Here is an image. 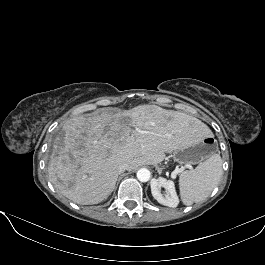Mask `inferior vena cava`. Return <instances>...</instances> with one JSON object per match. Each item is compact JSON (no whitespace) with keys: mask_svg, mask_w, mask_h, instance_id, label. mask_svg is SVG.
Instances as JSON below:
<instances>
[{"mask_svg":"<svg viewBox=\"0 0 265 265\" xmlns=\"http://www.w3.org/2000/svg\"><path fill=\"white\" fill-rule=\"evenodd\" d=\"M128 169H129V164L128 163H122L118 166V173L120 174V173H122Z\"/></svg>","mask_w":265,"mask_h":265,"instance_id":"obj_1","label":"inferior vena cava"}]
</instances>
